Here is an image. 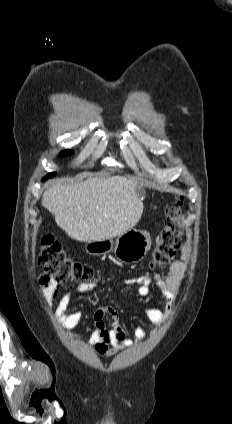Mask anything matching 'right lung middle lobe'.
Segmentation results:
<instances>
[{
    "label": "right lung middle lobe",
    "mask_w": 232,
    "mask_h": 424,
    "mask_svg": "<svg viewBox=\"0 0 232 424\" xmlns=\"http://www.w3.org/2000/svg\"><path fill=\"white\" fill-rule=\"evenodd\" d=\"M72 151L71 150H66L61 152V155H66V154H71ZM55 175V173H49L46 177L43 178L42 181L46 180L47 178L53 177Z\"/></svg>",
    "instance_id": "obj_1"
}]
</instances>
